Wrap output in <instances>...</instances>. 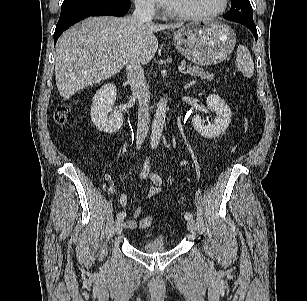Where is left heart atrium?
<instances>
[{"mask_svg":"<svg viewBox=\"0 0 307 301\" xmlns=\"http://www.w3.org/2000/svg\"><path fill=\"white\" fill-rule=\"evenodd\" d=\"M158 1L162 6H165V7H169V5L172 2V0H158Z\"/></svg>","mask_w":307,"mask_h":301,"instance_id":"left-heart-atrium-1","label":"left heart atrium"}]
</instances>
